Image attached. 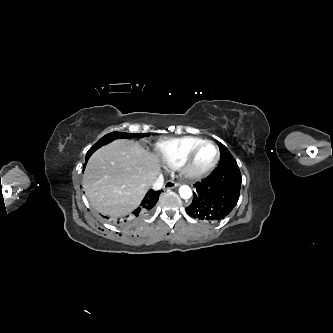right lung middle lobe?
<instances>
[{
	"mask_svg": "<svg viewBox=\"0 0 333 333\" xmlns=\"http://www.w3.org/2000/svg\"><path fill=\"white\" fill-rule=\"evenodd\" d=\"M143 136H144L143 133L129 134V133H122V132H112V133H109V134L105 135L104 137H102L95 145H93L91 147L90 150H92L94 152L101 146L108 144L109 142H111L117 138H120V137H125V138L131 139L134 137H143Z\"/></svg>",
	"mask_w": 333,
	"mask_h": 333,
	"instance_id": "obj_1",
	"label": "right lung middle lobe"
}]
</instances>
